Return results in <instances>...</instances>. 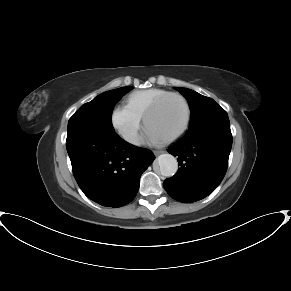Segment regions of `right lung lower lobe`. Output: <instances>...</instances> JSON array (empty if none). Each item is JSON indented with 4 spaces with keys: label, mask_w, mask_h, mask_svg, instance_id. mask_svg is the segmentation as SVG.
I'll list each match as a JSON object with an SVG mask.
<instances>
[{
    "label": "right lung lower lobe",
    "mask_w": 291,
    "mask_h": 291,
    "mask_svg": "<svg viewBox=\"0 0 291 291\" xmlns=\"http://www.w3.org/2000/svg\"><path fill=\"white\" fill-rule=\"evenodd\" d=\"M66 148L83 193L113 208L134 199L142 173L155 159L150 150L125 142L115 131L68 130Z\"/></svg>",
    "instance_id": "obj_1"
}]
</instances>
